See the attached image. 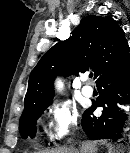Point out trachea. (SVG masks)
I'll list each match as a JSON object with an SVG mask.
<instances>
[{
	"label": "trachea",
	"mask_w": 130,
	"mask_h": 153,
	"mask_svg": "<svg viewBox=\"0 0 130 153\" xmlns=\"http://www.w3.org/2000/svg\"><path fill=\"white\" fill-rule=\"evenodd\" d=\"M92 76H93L92 74L89 75L90 78H92Z\"/></svg>",
	"instance_id": "1"
}]
</instances>
